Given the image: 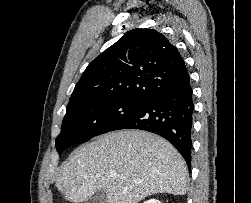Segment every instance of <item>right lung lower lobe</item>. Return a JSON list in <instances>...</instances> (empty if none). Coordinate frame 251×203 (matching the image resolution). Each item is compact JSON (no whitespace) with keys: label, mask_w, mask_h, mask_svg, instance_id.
<instances>
[{"label":"right lung lower lobe","mask_w":251,"mask_h":203,"mask_svg":"<svg viewBox=\"0 0 251 203\" xmlns=\"http://www.w3.org/2000/svg\"><path fill=\"white\" fill-rule=\"evenodd\" d=\"M194 102L189 74L151 96L111 131L141 129L158 134L191 162Z\"/></svg>","instance_id":"1"}]
</instances>
